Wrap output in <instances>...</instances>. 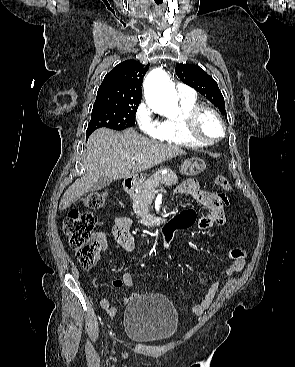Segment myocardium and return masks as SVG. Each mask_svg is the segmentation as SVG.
<instances>
[{
  "mask_svg": "<svg viewBox=\"0 0 295 367\" xmlns=\"http://www.w3.org/2000/svg\"><path fill=\"white\" fill-rule=\"evenodd\" d=\"M206 112L211 113L218 120L221 126V134L215 139H207L200 133L199 123L202 115ZM185 127L188 135L202 145H213L220 142L226 135V125L221 114L211 106L197 105L192 108L184 118Z\"/></svg>",
  "mask_w": 295,
  "mask_h": 367,
  "instance_id": "myocardium-1",
  "label": "myocardium"
}]
</instances>
